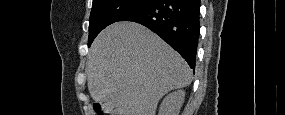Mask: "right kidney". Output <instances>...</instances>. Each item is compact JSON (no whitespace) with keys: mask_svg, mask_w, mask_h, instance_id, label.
I'll return each mask as SVG.
<instances>
[{"mask_svg":"<svg viewBox=\"0 0 285 115\" xmlns=\"http://www.w3.org/2000/svg\"><path fill=\"white\" fill-rule=\"evenodd\" d=\"M185 99V91L178 90L168 94L159 108V115H178Z\"/></svg>","mask_w":285,"mask_h":115,"instance_id":"right-kidney-1","label":"right kidney"}]
</instances>
